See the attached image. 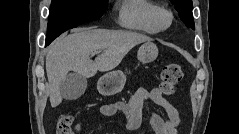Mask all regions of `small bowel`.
<instances>
[{"label":"small bowel","instance_id":"small-bowel-1","mask_svg":"<svg viewBox=\"0 0 239 134\" xmlns=\"http://www.w3.org/2000/svg\"><path fill=\"white\" fill-rule=\"evenodd\" d=\"M146 102H152L160 106L166 114L165 117L154 112L148 114V121L152 127L153 134H177L180 123L179 111L165 98L161 89L156 87L150 90L145 88L138 89L127 102L115 101L103 104L100 107V112L105 116L123 113L126 118L127 128L135 131L143 125ZM81 133L82 124L78 122L72 134Z\"/></svg>","mask_w":239,"mask_h":134}]
</instances>
